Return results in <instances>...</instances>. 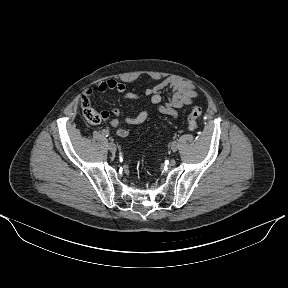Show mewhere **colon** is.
Segmentation results:
<instances>
[{
  "label": "colon",
  "mask_w": 288,
  "mask_h": 288,
  "mask_svg": "<svg viewBox=\"0 0 288 288\" xmlns=\"http://www.w3.org/2000/svg\"><path fill=\"white\" fill-rule=\"evenodd\" d=\"M82 110L85 119L92 124H97L103 120V115L93 109L89 104V99L84 98L82 100ZM202 114V107L195 106L192 108L189 116H188V128L190 130H196L198 127V118Z\"/></svg>",
  "instance_id": "5ec220e1"
}]
</instances>
